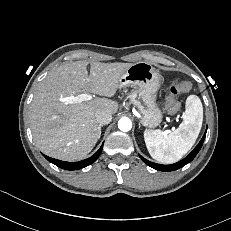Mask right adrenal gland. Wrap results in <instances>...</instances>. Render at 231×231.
Wrapping results in <instances>:
<instances>
[{"instance_id":"1","label":"right adrenal gland","mask_w":231,"mask_h":231,"mask_svg":"<svg viewBox=\"0 0 231 231\" xmlns=\"http://www.w3.org/2000/svg\"><path fill=\"white\" fill-rule=\"evenodd\" d=\"M101 127H102V125H100V126H99V130H100V132H101Z\"/></svg>"}]
</instances>
